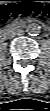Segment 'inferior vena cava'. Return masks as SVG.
Listing matches in <instances>:
<instances>
[{
	"instance_id": "602c4592",
	"label": "inferior vena cava",
	"mask_w": 50,
	"mask_h": 111,
	"mask_svg": "<svg viewBox=\"0 0 50 111\" xmlns=\"http://www.w3.org/2000/svg\"><path fill=\"white\" fill-rule=\"evenodd\" d=\"M24 34V30H22V29H16V30H14L12 33H11V35L12 36H21V35H23Z\"/></svg>"
}]
</instances>
